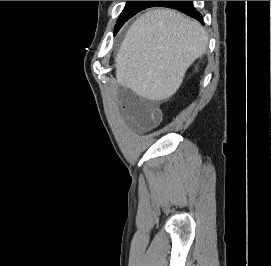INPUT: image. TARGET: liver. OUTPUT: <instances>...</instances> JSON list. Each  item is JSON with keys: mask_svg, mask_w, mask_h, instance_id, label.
Returning a JSON list of instances; mask_svg holds the SVG:
<instances>
[{"mask_svg": "<svg viewBox=\"0 0 271 266\" xmlns=\"http://www.w3.org/2000/svg\"><path fill=\"white\" fill-rule=\"evenodd\" d=\"M207 46L199 22L170 9L149 10L131 25L120 46L117 83L146 99L166 100Z\"/></svg>", "mask_w": 271, "mask_h": 266, "instance_id": "6515ba94", "label": "liver"}]
</instances>
